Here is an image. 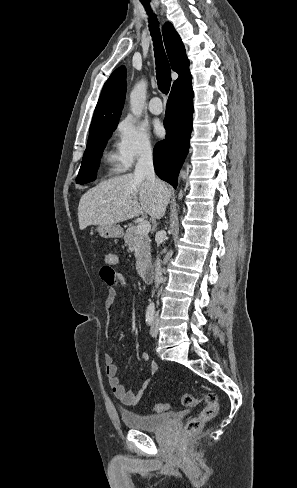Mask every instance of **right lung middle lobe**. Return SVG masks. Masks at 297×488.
<instances>
[{"label":"right lung middle lobe","instance_id":"dd1d6c3e","mask_svg":"<svg viewBox=\"0 0 297 488\" xmlns=\"http://www.w3.org/2000/svg\"><path fill=\"white\" fill-rule=\"evenodd\" d=\"M116 125H105L95 128L89 133L87 148L76 178V183L85 184L96 179L101 154L106 141L111 137Z\"/></svg>","mask_w":297,"mask_h":488}]
</instances>
